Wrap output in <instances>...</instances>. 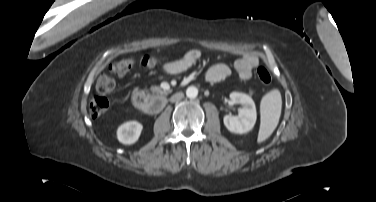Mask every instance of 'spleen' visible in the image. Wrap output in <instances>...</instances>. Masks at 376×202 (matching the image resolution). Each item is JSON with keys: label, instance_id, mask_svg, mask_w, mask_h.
<instances>
[{"label": "spleen", "instance_id": "1", "mask_svg": "<svg viewBox=\"0 0 376 202\" xmlns=\"http://www.w3.org/2000/svg\"><path fill=\"white\" fill-rule=\"evenodd\" d=\"M282 100L278 90H272L261 100V124L258 133V143L266 140L275 130L281 115Z\"/></svg>", "mask_w": 376, "mask_h": 202}]
</instances>
